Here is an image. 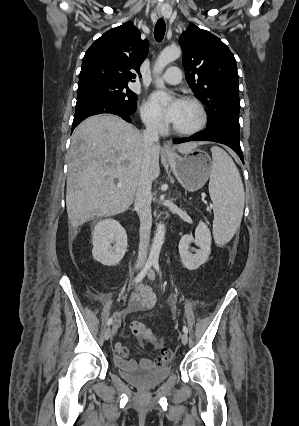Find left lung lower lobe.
<instances>
[{"label":"left lung lower lobe","instance_id":"left-lung-lower-lobe-1","mask_svg":"<svg viewBox=\"0 0 299 426\" xmlns=\"http://www.w3.org/2000/svg\"><path fill=\"white\" fill-rule=\"evenodd\" d=\"M189 141H213L225 144L232 148L244 163L242 150L240 147L239 131L228 126L207 127L203 132L187 138H175V144Z\"/></svg>","mask_w":299,"mask_h":426}]
</instances>
